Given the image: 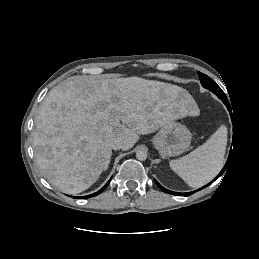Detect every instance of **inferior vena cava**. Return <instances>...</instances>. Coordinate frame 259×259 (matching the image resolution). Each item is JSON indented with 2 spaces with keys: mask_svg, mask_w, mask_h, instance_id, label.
<instances>
[{
  "mask_svg": "<svg viewBox=\"0 0 259 259\" xmlns=\"http://www.w3.org/2000/svg\"><path fill=\"white\" fill-rule=\"evenodd\" d=\"M110 146L114 150H119L123 148V142L119 139H115L110 143Z\"/></svg>",
  "mask_w": 259,
  "mask_h": 259,
  "instance_id": "obj_1",
  "label": "inferior vena cava"
}]
</instances>
